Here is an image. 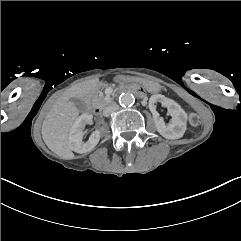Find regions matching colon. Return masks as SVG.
<instances>
[{
    "instance_id": "1",
    "label": "colon",
    "mask_w": 241,
    "mask_h": 241,
    "mask_svg": "<svg viewBox=\"0 0 241 241\" xmlns=\"http://www.w3.org/2000/svg\"><path fill=\"white\" fill-rule=\"evenodd\" d=\"M189 123L192 126H198V125L201 124V119H200V117L197 114L190 113V115H189Z\"/></svg>"
}]
</instances>
